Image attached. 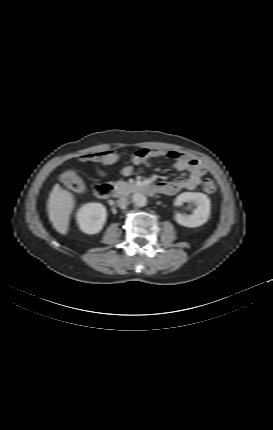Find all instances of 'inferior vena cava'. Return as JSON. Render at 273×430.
Instances as JSON below:
<instances>
[{
  "instance_id": "602c4592",
  "label": "inferior vena cava",
  "mask_w": 273,
  "mask_h": 430,
  "mask_svg": "<svg viewBox=\"0 0 273 430\" xmlns=\"http://www.w3.org/2000/svg\"><path fill=\"white\" fill-rule=\"evenodd\" d=\"M127 205H128V200H127V198H125V197H121V198L118 200V206H119L121 209H125Z\"/></svg>"
}]
</instances>
